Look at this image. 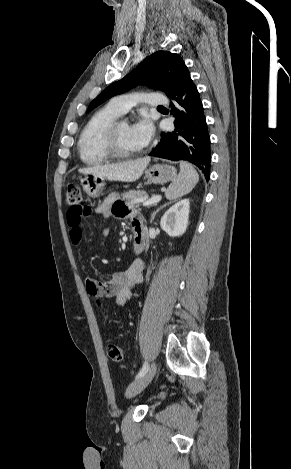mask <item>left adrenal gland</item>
<instances>
[{
	"label": "left adrenal gland",
	"mask_w": 291,
	"mask_h": 469,
	"mask_svg": "<svg viewBox=\"0 0 291 469\" xmlns=\"http://www.w3.org/2000/svg\"><path fill=\"white\" fill-rule=\"evenodd\" d=\"M170 203H171V202H167V203L163 204L162 206H160L159 208H157V209L152 213V215H151L150 223L153 222L154 217H155V215L157 214V212H159L162 208H164L165 206L169 205Z\"/></svg>",
	"instance_id": "1"
}]
</instances>
